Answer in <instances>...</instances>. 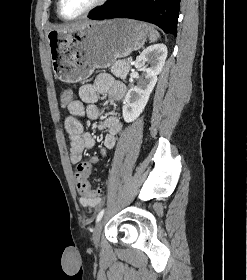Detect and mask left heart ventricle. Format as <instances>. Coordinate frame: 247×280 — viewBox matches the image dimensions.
Returning <instances> with one entry per match:
<instances>
[{
    "label": "left heart ventricle",
    "instance_id": "left-heart-ventricle-1",
    "mask_svg": "<svg viewBox=\"0 0 247 280\" xmlns=\"http://www.w3.org/2000/svg\"><path fill=\"white\" fill-rule=\"evenodd\" d=\"M96 0H62L61 11L66 17H74L90 7Z\"/></svg>",
    "mask_w": 247,
    "mask_h": 280
}]
</instances>
